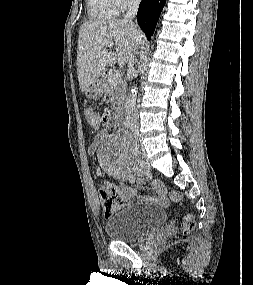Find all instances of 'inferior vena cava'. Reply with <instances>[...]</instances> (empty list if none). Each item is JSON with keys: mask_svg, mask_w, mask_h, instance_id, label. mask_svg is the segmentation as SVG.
<instances>
[{"mask_svg": "<svg viewBox=\"0 0 253 285\" xmlns=\"http://www.w3.org/2000/svg\"><path fill=\"white\" fill-rule=\"evenodd\" d=\"M140 4V0H130L129 2V9L126 13V15L124 16V21L125 22H129L131 24L133 23V19H135L136 15H137V11H138V7ZM136 53V52H135ZM135 56H132L130 58V60L128 61V75L131 76L134 72V61H135ZM136 110L134 112V116L132 118V123H136Z\"/></svg>", "mask_w": 253, "mask_h": 285, "instance_id": "602c4592", "label": "inferior vena cava"}]
</instances>
